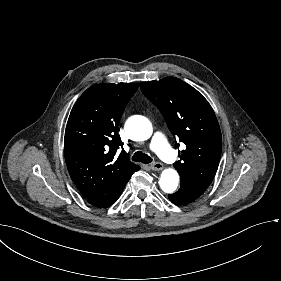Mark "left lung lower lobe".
I'll list each match as a JSON object with an SVG mask.
<instances>
[{
	"instance_id": "1",
	"label": "left lung lower lobe",
	"mask_w": 281,
	"mask_h": 281,
	"mask_svg": "<svg viewBox=\"0 0 281 281\" xmlns=\"http://www.w3.org/2000/svg\"><path fill=\"white\" fill-rule=\"evenodd\" d=\"M200 195L202 194L181 185L180 189L176 193L168 195V198L175 204L186 205L196 200Z\"/></svg>"
}]
</instances>
